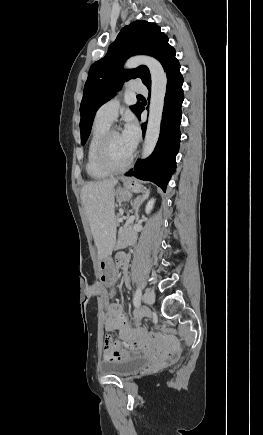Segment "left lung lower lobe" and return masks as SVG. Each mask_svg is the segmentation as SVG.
Returning <instances> with one entry per match:
<instances>
[{
  "instance_id": "left-lung-lower-lobe-1",
  "label": "left lung lower lobe",
  "mask_w": 263,
  "mask_h": 435,
  "mask_svg": "<svg viewBox=\"0 0 263 435\" xmlns=\"http://www.w3.org/2000/svg\"><path fill=\"white\" fill-rule=\"evenodd\" d=\"M168 82L164 101L160 136L154 152L143 161H137L135 168L127 172L126 176H135L141 180L152 181L163 191L176 169L175 156L180 143L181 106L184 99L182 84L183 77L180 73L178 60L166 70ZM151 89V85L147 87ZM144 107L142 106L138 117L140 118ZM146 123L142 124L143 133Z\"/></svg>"
}]
</instances>
